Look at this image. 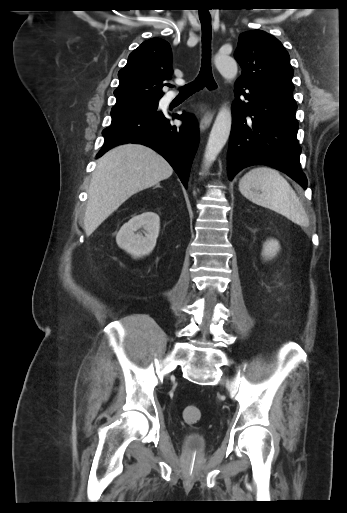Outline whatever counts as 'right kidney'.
<instances>
[{"mask_svg":"<svg viewBox=\"0 0 347 513\" xmlns=\"http://www.w3.org/2000/svg\"><path fill=\"white\" fill-rule=\"evenodd\" d=\"M160 218L154 212H144L132 217L116 235L120 248L134 258L146 256L152 252L159 235Z\"/></svg>","mask_w":347,"mask_h":513,"instance_id":"1","label":"right kidney"}]
</instances>
